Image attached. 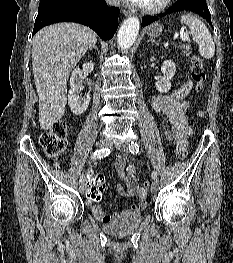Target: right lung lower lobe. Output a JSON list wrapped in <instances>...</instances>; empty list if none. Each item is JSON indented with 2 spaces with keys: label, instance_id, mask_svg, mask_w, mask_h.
I'll use <instances>...</instances> for the list:
<instances>
[{
  "label": "right lung lower lobe",
  "instance_id": "98d812e1",
  "mask_svg": "<svg viewBox=\"0 0 233 263\" xmlns=\"http://www.w3.org/2000/svg\"><path fill=\"white\" fill-rule=\"evenodd\" d=\"M119 8H107L105 0H79L74 8H56L38 15L33 35L42 27L57 22H76L89 26L103 40H109L118 28Z\"/></svg>",
  "mask_w": 233,
  "mask_h": 263
}]
</instances>
